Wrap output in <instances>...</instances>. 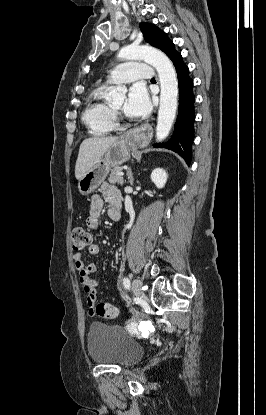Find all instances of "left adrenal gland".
Listing matches in <instances>:
<instances>
[{"instance_id": "obj_1", "label": "left adrenal gland", "mask_w": 266, "mask_h": 415, "mask_svg": "<svg viewBox=\"0 0 266 415\" xmlns=\"http://www.w3.org/2000/svg\"><path fill=\"white\" fill-rule=\"evenodd\" d=\"M127 177H128V180H129L130 185H133L134 178H133V173L131 171V168H129L127 170Z\"/></svg>"}]
</instances>
